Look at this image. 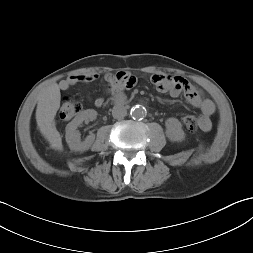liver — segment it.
I'll return each mask as SVG.
<instances>
[{
    "label": "liver",
    "mask_w": 253,
    "mask_h": 253,
    "mask_svg": "<svg viewBox=\"0 0 253 253\" xmlns=\"http://www.w3.org/2000/svg\"><path fill=\"white\" fill-rule=\"evenodd\" d=\"M61 94L57 83L43 88L38 94L36 121L41 134L50 143V146L62 151V139L56 129L55 116L60 107Z\"/></svg>",
    "instance_id": "6515ba94"
}]
</instances>
